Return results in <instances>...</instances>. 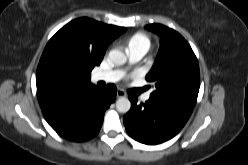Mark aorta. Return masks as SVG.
<instances>
[{
  "mask_svg": "<svg viewBox=\"0 0 248 165\" xmlns=\"http://www.w3.org/2000/svg\"><path fill=\"white\" fill-rule=\"evenodd\" d=\"M108 57L115 65H123L127 61L126 55L122 51L116 49L111 50ZM116 108L121 113H127L131 108V102L128 98L121 97L116 101Z\"/></svg>",
  "mask_w": 248,
  "mask_h": 165,
  "instance_id": "obj_1",
  "label": "aorta"
}]
</instances>
